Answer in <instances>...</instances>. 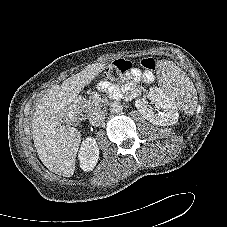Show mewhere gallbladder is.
<instances>
[{
    "instance_id": "bac80fb5",
    "label": "gallbladder",
    "mask_w": 227,
    "mask_h": 227,
    "mask_svg": "<svg viewBox=\"0 0 227 227\" xmlns=\"http://www.w3.org/2000/svg\"><path fill=\"white\" fill-rule=\"evenodd\" d=\"M62 124H63V125H67L68 123H67V121H64Z\"/></svg>"
}]
</instances>
